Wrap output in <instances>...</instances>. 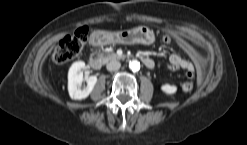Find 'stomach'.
<instances>
[{
    "label": "stomach",
    "mask_w": 247,
    "mask_h": 145,
    "mask_svg": "<svg viewBox=\"0 0 247 145\" xmlns=\"http://www.w3.org/2000/svg\"><path fill=\"white\" fill-rule=\"evenodd\" d=\"M105 43L133 44L141 43L150 45L155 41L154 32L146 26L135 27L119 32H103Z\"/></svg>",
    "instance_id": "stomach-1"
}]
</instances>
